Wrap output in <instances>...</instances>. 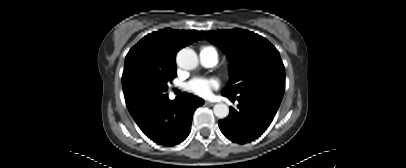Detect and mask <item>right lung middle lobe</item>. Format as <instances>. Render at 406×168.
I'll return each mask as SVG.
<instances>
[{"label": "right lung middle lobe", "mask_w": 406, "mask_h": 168, "mask_svg": "<svg viewBox=\"0 0 406 168\" xmlns=\"http://www.w3.org/2000/svg\"><path fill=\"white\" fill-rule=\"evenodd\" d=\"M176 76V69L158 70L147 66L134 67L122 83L130 112L156 104L168 97V83Z\"/></svg>", "instance_id": "dd1d6c3e"}]
</instances>
